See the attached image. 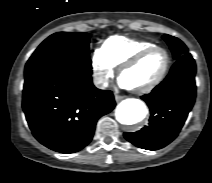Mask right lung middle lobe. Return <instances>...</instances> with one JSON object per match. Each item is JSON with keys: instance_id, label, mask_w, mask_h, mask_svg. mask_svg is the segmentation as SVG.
<instances>
[{"instance_id": "right-lung-middle-lobe-1", "label": "right lung middle lobe", "mask_w": 212, "mask_h": 183, "mask_svg": "<svg viewBox=\"0 0 212 183\" xmlns=\"http://www.w3.org/2000/svg\"><path fill=\"white\" fill-rule=\"evenodd\" d=\"M89 37L84 32H58L49 36L35 50L27 63L43 60L85 61L89 57Z\"/></svg>"}]
</instances>
